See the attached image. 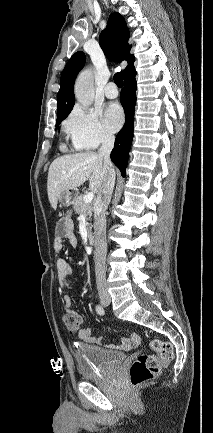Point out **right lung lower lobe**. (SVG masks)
<instances>
[{"label":"right lung lower lobe","instance_id":"98d812e1","mask_svg":"<svg viewBox=\"0 0 213 433\" xmlns=\"http://www.w3.org/2000/svg\"><path fill=\"white\" fill-rule=\"evenodd\" d=\"M136 71L133 68L124 76L125 87L121 91L120 101L125 111V124L115 139L111 152V160L120 169L121 175L126 176L128 153L133 138V119L136 103Z\"/></svg>","mask_w":213,"mask_h":433}]
</instances>
